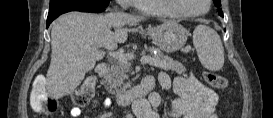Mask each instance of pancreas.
<instances>
[{
	"label": "pancreas",
	"instance_id": "pancreas-1",
	"mask_svg": "<svg viewBox=\"0 0 273 118\" xmlns=\"http://www.w3.org/2000/svg\"><path fill=\"white\" fill-rule=\"evenodd\" d=\"M157 52L154 55V52ZM149 52L151 54V62L152 66L164 69V70H172L176 71L179 74L185 72V67L179 62L173 60L172 58L164 55L158 49L151 47L149 48ZM130 69V63L128 60H120L114 59L112 61V65L108 70L107 74L103 76L102 84L105 89L115 95L120 94L122 91H125L130 87V83H124V80L128 78V72Z\"/></svg>",
	"mask_w": 273,
	"mask_h": 118
}]
</instances>
